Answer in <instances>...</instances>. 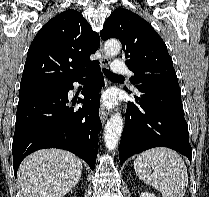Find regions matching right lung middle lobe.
<instances>
[{"label": "right lung middle lobe", "mask_w": 209, "mask_h": 197, "mask_svg": "<svg viewBox=\"0 0 209 197\" xmlns=\"http://www.w3.org/2000/svg\"><path fill=\"white\" fill-rule=\"evenodd\" d=\"M62 86H44L31 89H23L19 91V100L60 89Z\"/></svg>", "instance_id": "dd1d6c3e"}]
</instances>
